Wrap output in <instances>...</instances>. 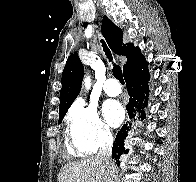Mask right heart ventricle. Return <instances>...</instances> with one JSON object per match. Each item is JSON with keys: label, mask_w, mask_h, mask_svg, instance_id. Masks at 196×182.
I'll return each instance as SVG.
<instances>
[{"label": "right heart ventricle", "mask_w": 196, "mask_h": 182, "mask_svg": "<svg viewBox=\"0 0 196 182\" xmlns=\"http://www.w3.org/2000/svg\"><path fill=\"white\" fill-rule=\"evenodd\" d=\"M71 153H72L73 155L80 154L79 152L75 151L74 149H71Z\"/></svg>", "instance_id": "e07e8e85"}]
</instances>
